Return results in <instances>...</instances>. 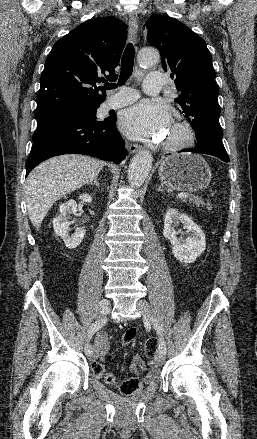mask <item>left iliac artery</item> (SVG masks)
<instances>
[{
    "instance_id": "left-iliac-artery-1",
    "label": "left iliac artery",
    "mask_w": 257,
    "mask_h": 439,
    "mask_svg": "<svg viewBox=\"0 0 257 439\" xmlns=\"http://www.w3.org/2000/svg\"><path fill=\"white\" fill-rule=\"evenodd\" d=\"M151 320H152V324H153V326H154V328L159 336V352L163 355H166V343L164 341L162 327L155 317H152Z\"/></svg>"
}]
</instances>
